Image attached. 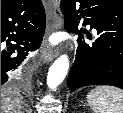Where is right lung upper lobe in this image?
I'll return each mask as SVG.
<instances>
[{"instance_id":"1","label":"right lung upper lobe","mask_w":123,"mask_h":113,"mask_svg":"<svg viewBox=\"0 0 123 113\" xmlns=\"http://www.w3.org/2000/svg\"><path fill=\"white\" fill-rule=\"evenodd\" d=\"M17 0H1V9L11 6Z\"/></svg>"}]
</instances>
